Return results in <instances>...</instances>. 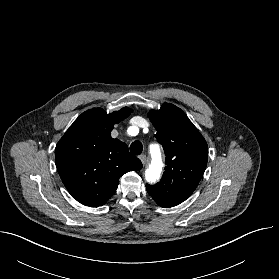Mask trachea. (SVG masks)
<instances>
[{
    "label": "trachea",
    "mask_w": 279,
    "mask_h": 279,
    "mask_svg": "<svg viewBox=\"0 0 279 279\" xmlns=\"http://www.w3.org/2000/svg\"><path fill=\"white\" fill-rule=\"evenodd\" d=\"M143 150V145L140 141H135L130 145V151L134 155H140Z\"/></svg>",
    "instance_id": "1"
}]
</instances>
